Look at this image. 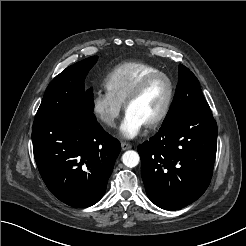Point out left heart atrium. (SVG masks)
I'll return each mask as SVG.
<instances>
[{"label":"left heart atrium","instance_id":"1","mask_svg":"<svg viewBox=\"0 0 246 246\" xmlns=\"http://www.w3.org/2000/svg\"><path fill=\"white\" fill-rule=\"evenodd\" d=\"M144 122L132 112L127 111L120 125V133L123 137L135 138L144 127Z\"/></svg>","mask_w":246,"mask_h":246}]
</instances>
